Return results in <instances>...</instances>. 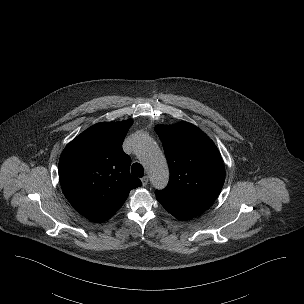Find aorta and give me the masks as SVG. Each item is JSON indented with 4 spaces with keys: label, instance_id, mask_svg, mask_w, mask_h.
<instances>
[{
    "label": "aorta",
    "instance_id": "aorta-1",
    "mask_svg": "<svg viewBox=\"0 0 304 304\" xmlns=\"http://www.w3.org/2000/svg\"><path fill=\"white\" fill-rule=\"evenodd\" d=\"M134 150L143 159L153 187L164 188L168 183L169 169L163 153L153 139L147 134L139 135Z\"/></svg>",
    "mask_w": 304,
    "mask_h": 304
}]
</instances>
